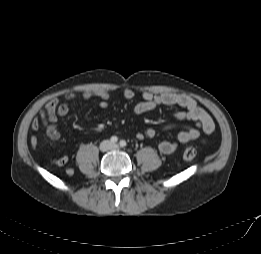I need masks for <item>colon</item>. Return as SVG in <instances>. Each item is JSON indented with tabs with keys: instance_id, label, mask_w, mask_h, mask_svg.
I'll return each instance as SVG.
<instances>
[{
	"instance_id": "1",
	"label": "colon",
	"mask_w": 261,
	"mask_h": 254,
	"mask_svg": "<svg viewBox=\"0 0 261 254\" xmlns=\"http://www.w3.org/2000/svg\"><path fill=\"white\" fill-rule=\"evenodd\" d=\"M197 155V152L194 148H187L184 153H183V157L185 160L187 161H192L195 159ZM67 173L68 174H71V171L70 170H67Z\"/></svg>"
}]
</instances>
